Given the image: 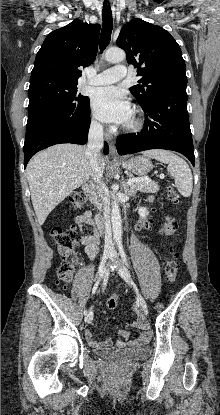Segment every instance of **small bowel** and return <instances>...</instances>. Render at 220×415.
Masks as SVG:
<instances>
[{
  "instance_id": "1",
  "label": "small bowel",
  "mask_w": 220,
  "mask_h": 415,
  "mask_svg": "<svg viewBox=\"0 0 220 415\" xmlns=\"http://www.w3.org/2000/svg\"><path fill=\"white\" fill-rule=\"evenodd\" d=\"M74 228L78 230H82L83 227L89 226L93 228V232L90 234H84L81 236L80 241L84 247V251L90 259H94L97 253L100 250V236L95 228V223L92 219V213L90 211H85L84 213L75 217L73 222ZM149 226V222L146 220H141L138 224L139 228H147ZM137 326L142 329L146 330V325L142 319H139L137 322ZM118 334L120 335L121 339L117 341L116 347L117 348H125V347H136L142 346L146 344L148 339H143L142 334L136 340H129V333L125 330H118ZM85 339L88 341V344L92 348H101V349H108L112 346V341L107 339L103 342H97L92 339V332L89 329L84 331Z\"/></svg>"
}]
</instances>
